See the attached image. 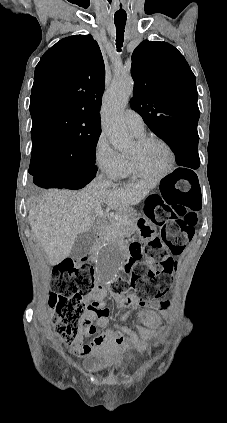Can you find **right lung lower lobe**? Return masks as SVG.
Masks as SVG:
<instances>
[{"instance_id":"98d812e1","label":"right lung lower lobe","mask_w":227,"mask_h":423,"mask_svg":"<svg viewBox=\"0 0 227 423\" xmlns=\"http://www.w3.org/2000/svg\"><path fill=\"white\" fill-rule=\"evenodd\" d=\"M43 172L33 175V182L42 188H67L77 190L88 184L96 174L74 171L68 164L56 160L45 162Z\"/></svg>"}]
</instances>
